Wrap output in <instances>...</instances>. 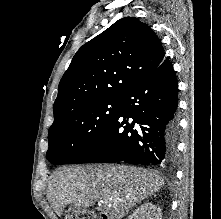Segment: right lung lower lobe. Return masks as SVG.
Wrapping results in <instances>:
<instances>
[{"label":"right lung lower lobe","instance_id":"obj_1","mask_svg":"<svg viewBox=\"0 0 221 219\" xmlns=\"http://www.w3.org/2000/svg\"><path fill=\"white\" fill-rule=\"evenodd\" d=\"M177 102L175 71L165 58L122 96L118 112L103 133L67 164L171 163L177 152Z\"/></svg>","mask_w":221,"mask_h":219}]
</instances>
